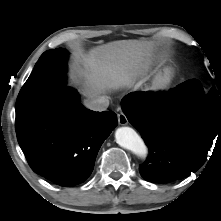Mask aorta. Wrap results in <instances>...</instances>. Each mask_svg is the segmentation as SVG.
Here are the masks:
<instances>
[{
  "mask_svg": "<svg viewBox=\"0 0 221 221\" xmlns=\"http://www.w3.org/2000/svg\"><path fill=\"white\" fill-rule=\"evenodd\" d=\"M116 143L135 155L145 158L148 154L147 146L142 138L131 127H120L115 132Z\"/></svg>",
  "mask_w": 221,
  "mask_h": 221,
  "instance_id": "1",
  "label": "aorta"
}]
</instances>
